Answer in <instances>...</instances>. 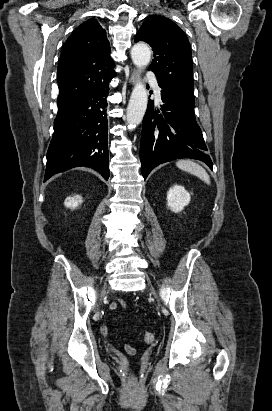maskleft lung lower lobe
<instances>
[{"label": "left lung lower lobe", "mask_w": 272, "mask_h": 411, "mask_svg": "<svg viewBox=\"0 0 272 411\" xmlns=\"http://www.w3.org/2000/svg\"><path fill=\"white\" fill-rule=\"evenodd\" d=\"M161 88L160 110L154 111V103L150 102L143 119L140 160L144 179L157 165L178 158L198 159L212 169L195 119L194 102Z\"/></svg>", "instance_id": "obj_1"}]
</instances>
